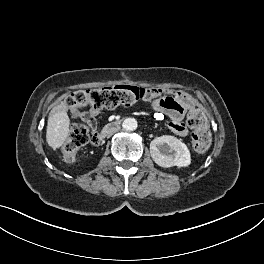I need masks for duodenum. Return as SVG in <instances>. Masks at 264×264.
<instances>
[{
    "label": "duodenum",
    "mask_w": 264,
    "mask_h": 264,
    "mask_svg": "<svg viewBox=\"0 0 264 264\" xmlns=\"http://www.w3.org/2000/svg\"><path fill=\"white\" fill-rule=\"evenodd\" d=\"M120 124H121V120H118V119L109 122L108 124L104 126L102 131L98 133L97 139L99 141H102L108 134H110L111 130L115 131L120 126Z\"/></svg>",
    "instance_id": "duodenum-1"
}]
</instances>
